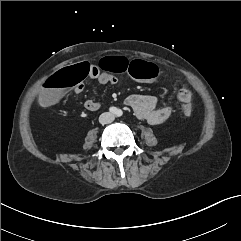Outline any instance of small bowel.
Segmentation results:
<instances>
[{
    "label": "small bowel",
    "instance_id": "1",
    "mask_svg": "<svg viewBox=\"0 0 241 241\" xmlns=\"http://www.w3.org/2000/svg\"><path fill=\"white\" fill-rule=\"evenodd\" d=\"M89 65L91 66V73L87 77L96 79L101 85H116L118 83V78L114 74L102 71L98 65ZM83 90L84 86L81 82L74 89L77 94L82 93ZM180 91H187L190 94L189 100L192 99V93L188 89L183 88ZM125 104L133 109L139 119L153 125L165 122L172 112L169 106L158 107L159 101L157 97L147 94H131L125 99ZM84 107L89 111H96L101 107V103L88 99L85 101Z\"/></svg>",
    "mask_w": 241,
    "mask_h": 241
}]
</instances>
